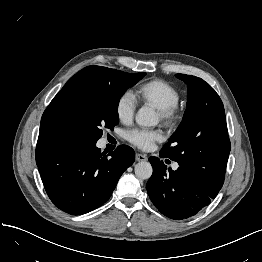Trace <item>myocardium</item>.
<instances>
[{
    "instance_id": "1",
    "label": "myocardium",
    "mask_w": 262,
    "mask_h": 262,
    "mask_svg": "<svg viewBox=\"0 0 262 262\" xmlns=\"http://www.w3.org/2000/svg\"><path fill=\"white\" fill-rule=\"evenodd\" d=\"M159 116L163 123L168 127L176 126L181 120V112L177 104L159 109Z\"/></svg>"
}]
</instances>
